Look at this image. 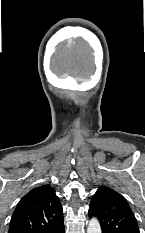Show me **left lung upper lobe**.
I'll use <instances>...</instances> for the list:
<instances>
[{
  "instance_id": "1",
  "label": "left lung upper lobe",
  "mask_w": 145,
  "mask_h": 233,
  "mask_svg": "<svg viewBox=\"0 0 145 233\" xmlns=\"http://www.w3.org/2000/svg\"><path fill=\"white\" fill-rule=\"evenodd\" d=\"M97 217L102 233H140L136 218L126 199L102 186L92 197L89 217Z\"/></svg>"
}]
</instances>
